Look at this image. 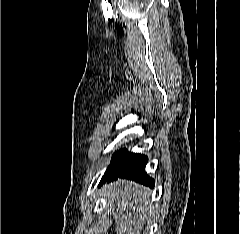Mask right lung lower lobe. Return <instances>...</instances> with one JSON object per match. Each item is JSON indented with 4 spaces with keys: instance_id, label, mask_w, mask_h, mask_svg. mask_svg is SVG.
Listing matches in <instances>:
<instances>
[{
    "instance_id": "obj_1",
    "label": "right lung lower lobe",
    "mask_w": 241,
    "mask_h": 234,
    "mask_svg": "<svg viewBox=\"0 0 241 234\" xmlns=\"http://www.w3.org/2000/svg\"><path fill=\"white\" fill-rule=\"evenodd\" d=\"M147 161L148 158L145 155L127 152L126 149L115 152L111 164L100 181V185L121 177L154 187V180L144 170Z\"/></svg>"
}]
</instances>
